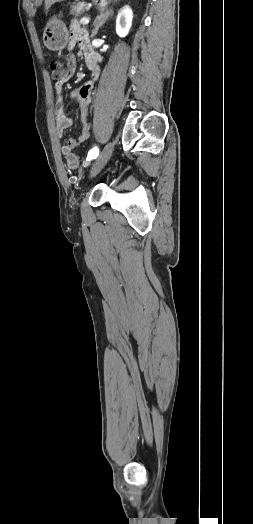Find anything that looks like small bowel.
<instances>
[{
    "label": "small bowel",
    "mask_w": 253,
    "mask_h": 524,
    "mask_svg": "<svg viewBox=\"0 0 253 524\" xmlns=\"http://www.w3.org/2000/svg\"><path fill=\"white\" fill-rule=\"evenodd\" d=\"M76 45L79 46V53L84 57L85 62L91 71V80L72 90L69 94V97L71 99H75L78 103L81 119V132L77 137L68 139L67 142L61 147V152L65 156L70 155L73 149L77 148L80 144L85 142L89 137L92 91L94 84L100 75V59L97 53L90 46L88 32L84 28L80 27L77 23H74L71 26L69 48L73 49ZM66 61V71L61 74L60 82L55 84V90L57 94L55 118L56 131L59 137H62L64 131L73 124V119L67 116L65 113L64 86L69 85L72 77H74L76 74L77 63L75 55L69 54L66 58Z\"/></svg>",
    "instance_id": "1"
}]
</instances>
